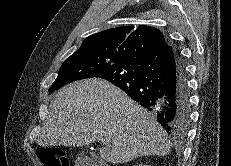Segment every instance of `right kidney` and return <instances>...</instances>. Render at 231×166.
Returning <instances> with one entry per match:
<instances>
[{"instance_id": "1", "label": "right kidney", "mask_w": 231, "mask_h": 166, "mask_svg": "<svg viewBox=\"0 0 231 166\" xmlns=\"http://www.w3.org/2000/svg\"><path fill=\"white\" fill-rule=\"evenodd\" d=\"M136 166V165H135ZM137 166H149V165H143V164H139V165H137Z\"/></svg>"}]
</instances>
